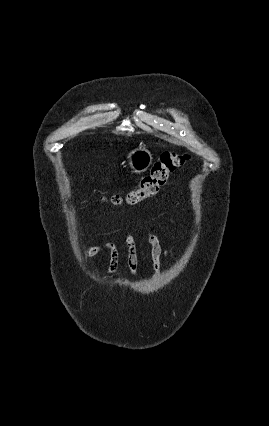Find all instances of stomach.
Instances as JSON below:
<instances>
[{"mask_svg":"<svg viewBox=\"0 0 269 426\" xmlns=\"http://www.w3.org/2000/svg\"><path fill=\"white\" fill-rule=\"evenodd\" d=\"M128 166L132 173L146 172L152 164V153L146 147H137L127 154Z\"/></svg>","mask_w":269,"mask_h":426,"instance_id":"1","label":"stomach"}]
</instances>
